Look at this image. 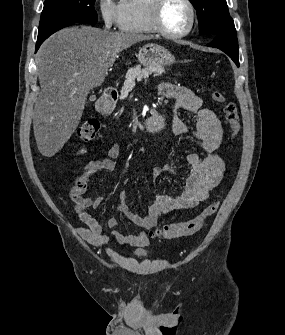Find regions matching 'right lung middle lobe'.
<instances>
[{"instance_id":"right-lung-middle-lobe-1","label":"right lung middle lobe","mask_w":285,"mask_h":335,"mask_svg":"<svg viewBox=\"0 0 285 335\" xmlns=\"http://www.w3.org/2000/svg\"><path fill=\"white\" fill-rule=\"evenodd\" d=\"M95 0H45L38 35L67 22L95 23Z\"/></svg>"}]
</instances>
